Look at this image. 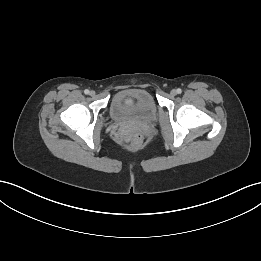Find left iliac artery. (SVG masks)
<instances>
[{"label":"left iliac artery","mask_w":261,"mask_h":261,"mask_svg":"<svg viewBox=\"0 0 261 261\" xmlns=\"http://www.w3.org/2000/svg\"><path fill=\"white\" fill-rule=\"evenodd\" d=\"M176 91L178 94H180L182 92V90L180 88H178Z\"/></svg>","instance_id":"1"}]
</instances>
